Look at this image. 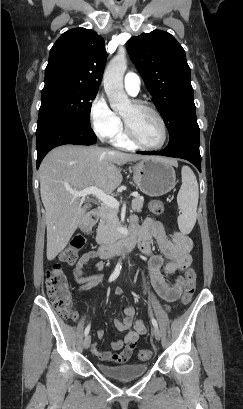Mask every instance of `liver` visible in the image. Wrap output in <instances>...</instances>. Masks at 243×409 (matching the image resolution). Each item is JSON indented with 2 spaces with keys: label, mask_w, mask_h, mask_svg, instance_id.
<instances>
[{
  "label": "liver",
  "mask_w": 243,
  "mask_h": 409,
  "mask_svg": "<svg viewBox=\"0 0 243 409\" xmlns=\"http://www.w3.org/2000/svg\"><path fill=\"white\" fill-rule=\"evenodd\" d=\"M147 156L98 146L63 145L50 151L40 168V194L47 226V259L52 261L66 247L84 220V198L69 190L96 186L112 193L122 182L120 166Z\"/></svg>",
  "instance_id": "liver-1"
}]
</instances>
